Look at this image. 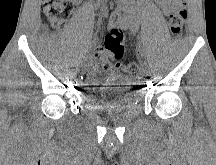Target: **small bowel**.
Segmentation results:
<instances>
[{"mask_svg":"<svg viewBox=\"0 0 216 165\" xmlns=\"http://www.w3.org/2000/svg\"><path fill=\"white\" fill-rule=\"evenodd\" d=\"M156 1L164 13H169L171 8H172V5L180 4V3H182L183 0H156ZM139 16H140L139 9L137 7H133L132 16L126 17L124 15V8L122 5H120L117 9L115 19H113L110 22V27L114 28V27L129 25L133 31H137L138 25H137L136 21L139 19ZM101 51H102L101 48H97L93 52V55L95 52H101ZM93 55H92V58H93Z\"/></svg>","mask_w":216,"mask_h":165,"instance_id":"1","label":"small bowel"}]
</instances>
